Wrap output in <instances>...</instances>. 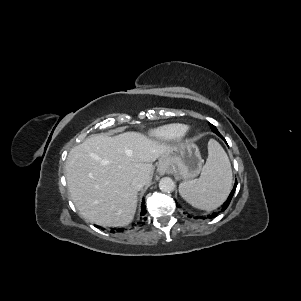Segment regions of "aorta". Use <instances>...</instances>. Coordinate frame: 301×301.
<instances>
[{"label":"aorta","instance_id":"1","mask_svg":"<svg viewBox=\"0 0 301 301\" xmlns=\"http://www.w3.org/2000/svg\"><path fill=\"white\" fill-rule=\"evenodd\" d=\"M159 188L162 192L170 193L175 189V183L170 177H164L159 182Z\"/></svg>","mask_w":301,"mask_h":301}]
</instances>
